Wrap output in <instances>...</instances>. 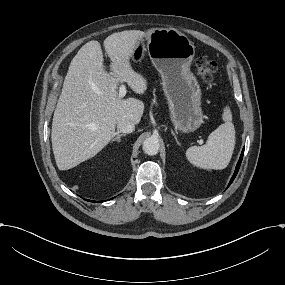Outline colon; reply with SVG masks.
Segmentation results:
<instances>
[{
    "label": "colon",
    "mask_w": 285,
    "mask_h": 285,
    "mask_svg": "<svg viewBox=\"0 0 285 285\" xmlns=\"http://www.w3.org/2000/svg\"><path fill=\"white\" fill-rule=\"evenodd\" d=\"M216 70V62L206 57H201L196 62L197 75L205 83H210L213 80Z\"/></svg>",
    "instance_id": "5ec220e1"
}]
</instances>
